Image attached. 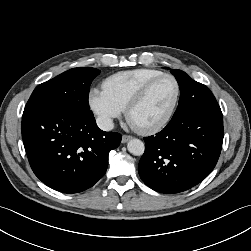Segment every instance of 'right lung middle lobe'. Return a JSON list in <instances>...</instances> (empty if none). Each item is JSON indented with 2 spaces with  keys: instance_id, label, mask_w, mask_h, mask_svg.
<instances>
[{
  "instance_id": "1",
  "label": "right lung middle lobe",
  "mask_w": 251,
  "mask_h": 251,
  "mask_svg": "<svg viewBox=\"0 0 251 251\" xmlns=\"http://www.w3.org/2000/svg\"><path fill=\"white\" fill-rule=\"evenodd\" d=\"M100 70L92 67L73 68L35 88L30 101L55 105L59 108L86 113L90 111V84Z\"/></svg>"
}]
</instances>
